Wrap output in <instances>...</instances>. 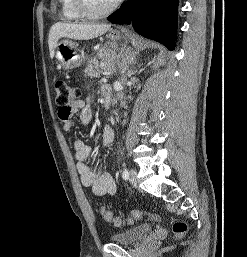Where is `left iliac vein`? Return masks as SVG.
Listing matches in <instances>:
<instances>
[{
  "label": "left iliac vein",
  "mask_w": 247,
  "mask_h": 257,
  "mask_svg": "<svg viewBox=\"0 0 247 257\" xmlns=\"http://www.w3.org/2000/svg\"><path fill=\"white\" fill-rule=\"evenodd\" d=\"M129 182L133 186H137L138 184V179H137V172L134 169H131L130 174H129Z\"/></svg>",
  "instance_id": "obj_1"
}]
</instances>
